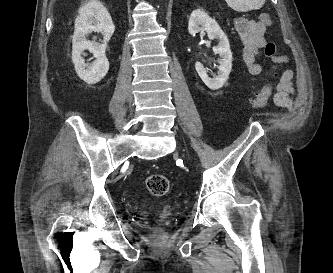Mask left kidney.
Listing matches in <instances>:
<instances>
[{"label": "left kidney", "instance_id": "left-kidney-1", "mask_svg": "<svg viewBox=\"0 0 333 273\" xmlns=\"http://www.w3.org/2000/svg\"><path fill=\"white\" fill-rule=\"evenodd\" d=\"M206 31L209 39H218V46L213 47V51L220 55L218 60V75L210 78L206 69L200 62L195 63V69L202 81L212 90L220 89L228 80L232 69V52L227 36L219 27L218 23L209 17L203 10H194L189 18L188 32L195 35L198 32Z\"/></svg>", "mask_w": 333, "mask_h": 273}]
</instances>
